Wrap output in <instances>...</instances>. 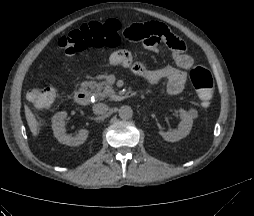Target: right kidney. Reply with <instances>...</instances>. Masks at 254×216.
Listing matches in <instances>:
<instances>
[{
	"instance_id": "1",
	"label": "right kidney",
	"mask_w": 254,
	"mask_h": 216,
	"mask_svg": "<svg viewBox=\"0 0 254 216\" xmlns=\"http://www.w3.org/2000/svg\"><path fill=\"white\" fill-rule=\"evenodd\" d=\"M66 112H58L52 117V129L56 139L68 146H79L83 144L88 137V130L81 129L76 136L67 135L65 131Z\"/></svg>"
}]
</instances>
